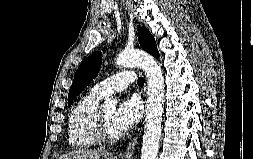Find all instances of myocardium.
<instances>
[{
	"label": "myocardium",
	"mask_w": 253,
	"mask_h": 159,
	"mask_svg": "<svg viewBox=\"0 0 253 159\" xmlns=\"http://www.w3.org/2000/svg\"><path fill=\"white\" fill-rule=\"evenodd\" d=\"M93 134L97 142L103 144H113L120 139V134L111 135L106 126L102 116L101 110H97L95 121L93 124Z\"/></svg>",
	"instance_id": "obj_1"
}]
</instances>
